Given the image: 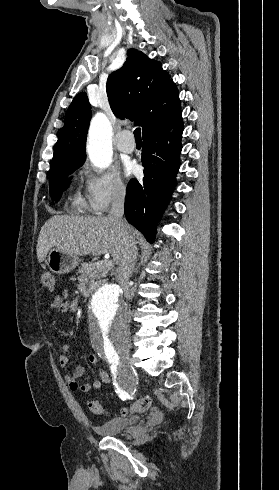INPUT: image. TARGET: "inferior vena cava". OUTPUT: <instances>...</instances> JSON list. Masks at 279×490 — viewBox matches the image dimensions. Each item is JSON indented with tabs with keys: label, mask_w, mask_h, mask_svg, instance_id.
Here are the masks:
<instances>
[{
	"label": "inferior vena cava",
	"mask_w": 279,
	"mask_h": 490,
	"mask_svg": "<svg viewBox=\"0 0 279 490\" xmlns=\"http://www.w3.org/2000/svg\"><path fill=\"white\" fill-rule=\"evenodd\" d=\"M125 194V188H122V186L121 188L117 186L116 190H114L108 220L112 226L119 228L120 236H123L124 252L120 262L117 264L118 268H116L115 278L117 284L123 290L124 298L130 302L133 298V292L130 290L129 280L135 268L138 252L135 240L128 236V232H125L127 224L126 220H123Z\"/></svg>",
	"instance_id": "602c4592"
}]
</instances>
